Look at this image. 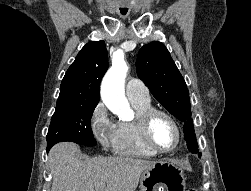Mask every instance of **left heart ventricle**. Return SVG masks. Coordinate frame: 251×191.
Returning <instances> with one entry per match:
<instances>
[{
  "label": "left heart ventricle",
  "instance_id": "obj_1",
  "mask_svg": "<svg viewBox=\"0 0 251 191\" xmlns=\"http://www.w3.org/2000/svg\"><path fill=\"white\" fill-rule=\"evenodd\" d=\"M151 135L157 148L164 152L173 151L179 142V136L173 123L163 115H157L152 123Z\"/></svg>",
  "mask_w": 251,
  "mask_h": 191
}]
</instances>
